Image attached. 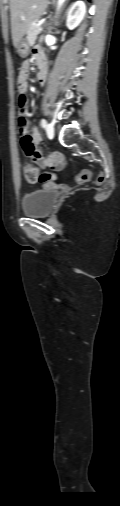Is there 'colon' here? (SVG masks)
<instances>
[{
	"label": "colon",
	"instance_id": "colon-1",
	"mask_svg": "<svg viewBox=\"0 0 120 506\" xmlns=\"http://www.w3.org/2000/svg\"><path fill=\"white\" fill-rule=\"evenodd\" d=\"M17 90H18V124L19 131L22 133L21 138V146L23 152L31 157L34 161L36 158L40 156V152L38 148L35 146L32 137L27 134L26 127L27 121L25 118V106H26V95L24 85L21 81L17 82ZM92 176V172L88 169L81 171L76 176V181L78 183L87 182ZM24 177L25 180L30 184L36 183H47L56 179V175L53 173L41 172L39 168L35 165L34 162L26 163L24 166ZM105 181V176L100 174L97 178V184H103Z\"/></svg>",
	"mask_w": 120,
	"mask_h": 506
}]
</instances>
